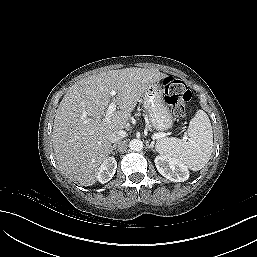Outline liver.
<instances>
[{
    "label": "liver",
    "mask_w": 257,
    "mask_h": 257,
    "mask_svg": "<svg viewBox=\"0 0 257 257\" xmlns=\"http://www.w3.org/2000/svg\"><path fill=\"white\" fill-rule=\"evenodd\" d=\"M166 76L157 69L130 67L74 84L60 102L53 125V149L60 170L82 186L93 185L99 166L111 153L112 134L126 127L144 91ZM111 102L117 110L106 116Z\"/></svg>",
    "instance_id": "1"
}]
</instances>
